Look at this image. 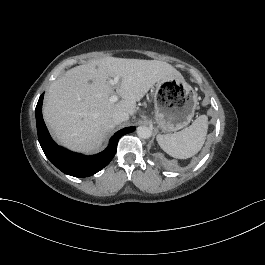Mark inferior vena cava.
Wrapping results in <instances>:
<instances>
[{
    "mask_svg": "<svg viewBox=\"0 0 265 265\" xmlns=\"http://www.w3.org/2000/svg\"><path fill=\"white\" fill-rule=\"evenodd\" d=\"M128 119H129V113L125 111H117L112 114V120L116 124L127 121Z\"/></svg>",
    "mask_w": 265,
    "mask_h": 265,
    "instance_id": "1",
    "label": "inferior vena cava"
}]
</instances>
